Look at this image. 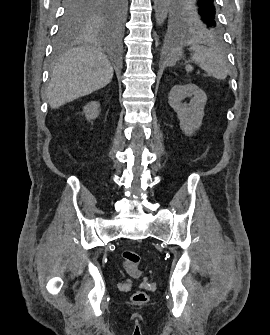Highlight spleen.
<instances>
[{
  "label": "spleen",
  "mask_w": 270,
  "mask_h": 335,
  "mask_svg": "<svg viewBox=\"0 0 270 335\" xmlns=\"http://www.w3.org/2000/svg\"><path fill=\"white\" fill-rule=\"evenodd\" d=\"M199 44H201V42L200 40H196V38L187 40L185 44V46H191V50H194L192 60H194L195 64H198L202 70H205L208 76H213V78H217V80H225L229 74V66L218 44H214L211 48L199 46ZM181 54V46L171 50L170 54H168V58H166L167 64L172 66L174 60H176V56H181ZM191 70H193L192 66H187V72H191Z\"/></svg>",
  "instance_id": "3e777b00"
}]
</instances>
